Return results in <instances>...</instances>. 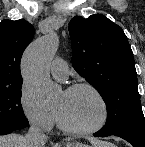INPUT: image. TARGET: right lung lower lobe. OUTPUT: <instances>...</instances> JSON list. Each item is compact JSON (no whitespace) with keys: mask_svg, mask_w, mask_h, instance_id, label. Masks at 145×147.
Here are the masks:
<instances>
[{"mask_svg":"<svg viewBox=\"0 0 145 147\" xmlns=\"http://www.w3.org/2000/svg\"><path fill=\"white\" fill-rule=\"evenodd\" d=\"M16 130H12V131H0V135H6L12 132H15Z\"/></svg>","mask_w":145,"mask_h":147,"instance_id":"1","label":"right lung lower lobe"}]
</instances>
